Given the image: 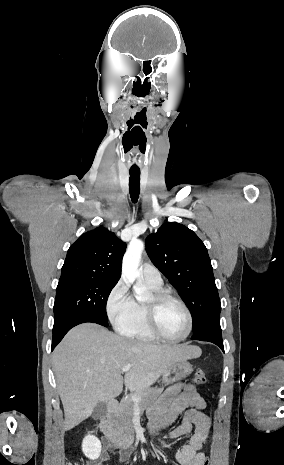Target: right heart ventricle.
<instances>
[{"label":"right heart ventricle","mask_w":284,"mask_h":465,"mask_svg":"<svg viewBox=\"0 0 284 465\" xmlns=\"http://www.w3.org/2000/svg\"><path fill=\"white\" fill-rule=\"evenodd\" d=\"M148 286L156 291L161 289V285ZM146 311L144 304L136 303L132 315L118 326L119 333L127 339L142 342V343H155L157 340L148 332L146 328Z\"/></svg>","instance_id":"right-heart-ventricle-1"}]
</instances>
